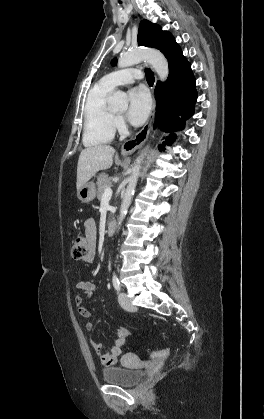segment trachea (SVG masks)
<instances>
[{
	"mask_svg": "<svg viewBox=\"0 0 264 419\" xmlns=\"http://www.w3.org/2000/svg\"><path fill=\"white\" fill-rule=\"evenodd\" d=\"M145 74H146V80L149 84H153L154 83V75L151 72L150 69L146 68L145 69Z\"/></svg>",
	"mask_w": 264,
	"mask_h": 419,
	"instance_id": "obj_1",
	"label": "trachea"
}]
</instances>
